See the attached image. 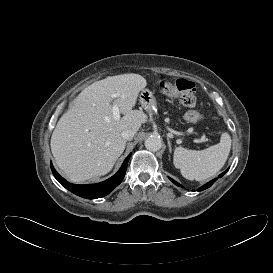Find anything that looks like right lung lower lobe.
<instances>
[{
	"instance_id": "right-lung-lower-lobe-1",
	"label": "right lung lower lobe",
	"mask_w": 273,
	"mask_h": 273,
	"mask_svg": "<svg viewBox=\"0 0 273 273\" xmlns=\"http://www.w3.org/2000/svg\"><path fill=\"white\" fill-rule=\"evenodd\" d=\"M131 154L127 156V158L124 160L121 168L119 171L112 176L111 178L107 179L106 181H103L101 183L97 184H91V185H76L71 184L67 182L64 178H62L54 169L53 165L51 164V170L53 172V175L57 179V181L66 189L71 191L72 193L81 196L83 198L87 199H96L103 196H106L109 194L116 186H118L126 173L127 164L129 161Z\"/></svg>"
}]
</instances>
